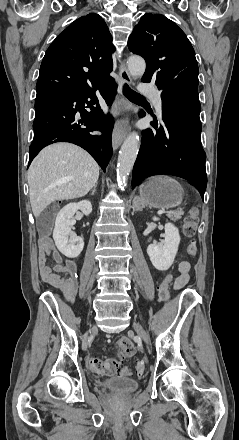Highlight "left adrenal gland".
I'll use <instances>...</instances> for the list:
<instances>
[{"label": "left adrenal gland", "mask_w": 239, "mask_h": 440, "mask_svg": "<svg viewBox=\"0 0 239 440\" xmlns=\"http://www.w3.org/2000/svg\"><path fill=\"white\" fill-rule=\"evenodd\" d=\"M133 208H135V210H141L140 206H138L136 202H133Z\"/></svg>", "instance_id": "a2214340"}]
</instances>
